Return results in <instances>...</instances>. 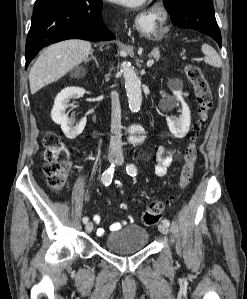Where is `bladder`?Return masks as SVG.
<instances>
[{"mask_svg": "<svg viewBox=\"0 0 247 299\" xmlns=\"http://www.w3.org/2000/svg\"><path fill=\"white\" fill-rule=\"evenodd\" d=\"M148 242L147 229L137 224H130L107 236L104 247L115 254H130L144 249Z\"/></svg>", "mask_w": 247, "mask_h": 299, "instance_id": "1", "label": "bladder"}]
</instances>
